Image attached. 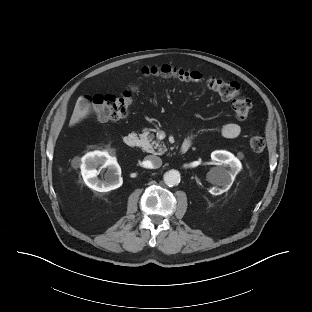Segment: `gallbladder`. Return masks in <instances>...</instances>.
Here are the masks:
<instances>
[{
  "label": "gallbladder",
  "instance_id": "gallbladder-1",
  "mask_svg": "<svg viewBox=\"0 0 312 312\" xmlns=\"http://www.w3.org/2000/svg\"><path fill=\"white\" fill-rule=\"evenodd\" d=\"M81 104L84 105V104H85V100H82V101H81Z\"/></svg>",
  "mask_w": 312,
  "mask_h": 312
}]
</instances>
